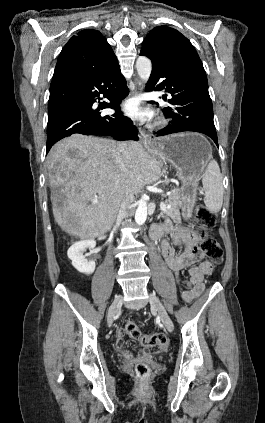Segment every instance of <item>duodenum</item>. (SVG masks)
I'll use <instances>...</instances> for the list:
<instances>
[{"label":"duodenum","instance_id":"1","mask_svg":"<svg viewBox=\"0 0 265 423\" xmlns=\"http://www.w3.org/2000/svg\"><path fill=\"white\" fill-rule=\"evenodd\" d=\"M151 235H152L154 240H158L164 235V232L159 227L154 226L151 229Z\"/></svg>","mask_w":265,"mask_h":423}]
</instances>
